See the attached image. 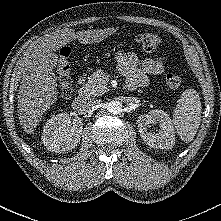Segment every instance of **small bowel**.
<instances>
[{"mask_svg": "<svg viewBox=\"0 0 221 221\" xmlns=\"http://www.w3.org/2000/svg\"><path fill=\"white\" fill-rule=\"evenodd\" d=\"M116 59L120 72L126 78L125 85L129 90L147 87L149 75H160L165 71L166 60L164 57L140 59L134 53L120 51Z\"/></svg>", "mask_w": 221, "mask_h": 221, "instance_id": "obj_1", "label": "small bowel"}]
</instances>
